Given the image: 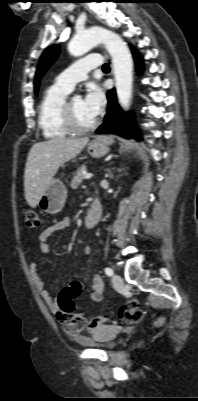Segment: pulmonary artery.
Masks as SVG:
<instances>
[{"instance_id": "1", "label": "pulmonary artery", "mask_w": 198, "mask_h": 401, "mask_svg": "<svg viewBox=\"0 0 198 401\" xmlns=\"http://www.w3.org/2000/svg\"><path fill=\"white\" fill-rule=\"evenodd\" d=\"M102 64L103 59L97 55L81 59L59 74L55 79V84L68 91H72L78 82L88 77L90 70Z\"/></svg>"}]
</instances>
